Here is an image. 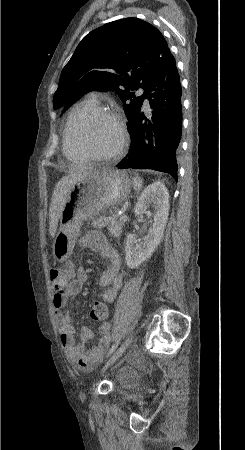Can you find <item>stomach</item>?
<instances>
[{
    "instance_id": "obj_1",
    "label": "stomach",
    "mask_w": 245,
    "mask_h": 450,
    "mask_svg": "<svg viewBox=\"0 0 245 450\" xmlns=\"http://www.w3.org/2000/svg\"><path fill=\"white\" fill-rule=\"evenodd\" d=\"M131 182L121 171L98 168L78 179L66 197L60 215V229L53 243V256L58 262L72 254L80 228L107 208L121 204L128 196Z\"/></svg>"
}]
</instances>
